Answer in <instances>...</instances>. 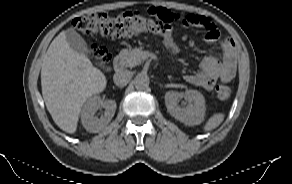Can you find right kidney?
<instances>
[{
    "label": "right kidney",
    "mask_w": 292,
    "mask_h": 184,
    "mask_svg": "<svg viewBox=\"0 0 292 184\" xmlns=\"http://www.w3.org/2000/svg\"><path fill=\"white\" fill-rule=\"evenodd\" d=\"M116 107L114 100H101L99 96L91 97L81 110L83 127L91 133L101 131L113 118ZM99 108H104L105 111L100 118H97L95 113Z\"/></svg>",
    "instance_id": "right-kidney-1"
}]
</instances>
